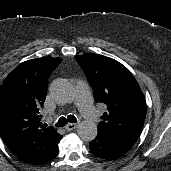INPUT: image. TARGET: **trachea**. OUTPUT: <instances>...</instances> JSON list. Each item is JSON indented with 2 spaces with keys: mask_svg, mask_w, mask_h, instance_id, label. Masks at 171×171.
I'll return each instance as SVG.
<instances>
[{
  "mask_svg": "<svg viewBox=\"0 0 171 171\" xmlns=\"http://www.w3.org/2000/svg\"><path fill=\"white\" fill-rule=\"evenodd\" d=\"M68 122H70V123H75V122H77V119H76V117H75L74 115H69V116H67V118H65V117H60L59 120H58V122L56 123V126H57V127H63V126H65Z\"/></svg>",
  "mask_w": 171,
  "mask_h": 171,
  "instance_id": "trachea-1",
  "label": "trachea"
}]
</instances>
